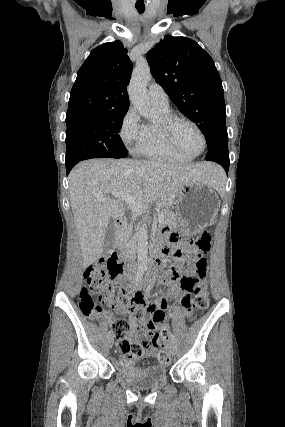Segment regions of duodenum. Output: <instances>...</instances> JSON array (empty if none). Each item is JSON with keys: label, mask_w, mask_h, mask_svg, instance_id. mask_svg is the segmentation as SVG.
Wrapping results in <instances>:
<instances>
[{"label": "duodenum", "mask_w": 285, "mask_h": 427, "mask_svg": "<svg viewBox=\"0 0 285 427\" xmlns=\"http://www.w3.org/2000/svg\"><path fill=\"white\" fill-rule=\"evenodd\" d=\"M127 226V221L125 218H118L115 221V228L117 231L123 230L125 227ZM167 251V246L166 245H161L160 247L156 248L154 250V259H161L164 257L165 253ZM112 252H115L114 250Z\"/></svg>", "instance_id": "1"}]
</instances>
